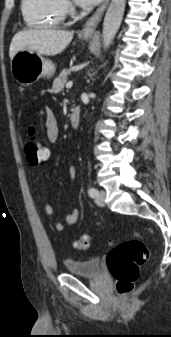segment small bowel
Here are the masks:
<instances>
[{"label":"small bowel","mask_w":171,"mask_h":337,"mask_svg":"<svg viewBox=\"0 0 171 337\" xmlns=\"http://www.w3.org/2000/svg\"><path fill=\"white\" fill-rule=\"evenodd\" d=\"M45 133L48 141L56 142L59 138V126L52 109L48 108L45 115ZM76 167L75 165L69 166V176L72 182L76 179ZM45 212L47 215L52 216L54 210L49 203L45 204ZM80 216V211L78 208H72L65 218V222H56L55 228L57 231H64L67 225H72L76 223Z\"/></svg>","instance_id":"1"}]
</instances>
